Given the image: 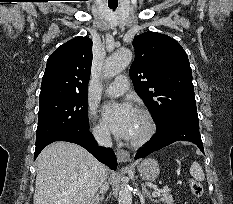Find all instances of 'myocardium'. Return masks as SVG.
<instances>
[{
    "label": "myocardium",
    "instance_id": "f54148a6",
    "mask_svg": "<svg viewBox=\"0 0 233 204\" xmlns=\"http://www.w3.org/2000/svg\"><path fill=\"white\" fill-rule=\"evenodd\" d=\"M136 113L141 115L144 119L145 131L141 136L135 139H129V144L133 147H140L148 143L153 138L156 133V123L152 114L148 110L139 108L136 110Z\"/></svg>",
    "mask_w": 233,
    "mask_h": 204
}]
</instances>
